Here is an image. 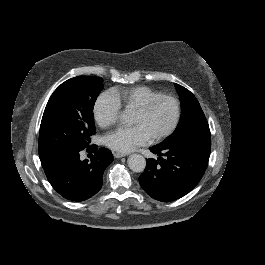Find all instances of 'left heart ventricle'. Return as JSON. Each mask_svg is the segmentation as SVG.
<instances>
[{
	"label": "left heart ventricle",
	"instance_id": "obj_1",
	"mask_svg": "<svg viewBox=\"0 0 265 265\" xmlns=\"http://www.w3.org/2000/svg\"><path fill=\"white\" fill-rule=\"evenodd\" d=\"M174 117V107L166 100H160L154 104L146 114L135 113L134 124L143 125L153 138L169 126Z\"/></svg>",
	"mask_w": 265,
	"mask_h": 265
}]
</instances>
